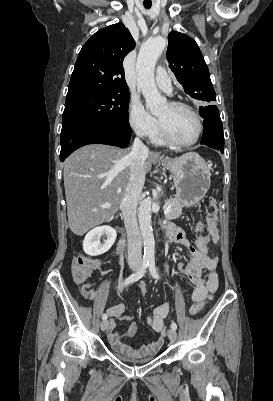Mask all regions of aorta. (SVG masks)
I'll return each mask as SVG.
<instances>
[{
    "label": "aorta",
    "mask_w": 273,
    "mask_h": 401,
    "mask_svg": "<svg viewBox=\"0 0 273 401\" xmlns=\"http://www.w3.org/2000/svg\"><path fill=\"white\" fill-rule=\"evenodd\" d=\"M166 46L163 37H155L148 40L140 49L136 70L138 73V88L145 99L146 108L153 114H159L166 104V99L161 96L154 80L156 62ZM151 197L143 199L139 206L138 218L141 235L144 244V257L154 259L155 241L151 226Z\"/></svg>",
    "instance_id": "762f6f07"
}]
</instances>
